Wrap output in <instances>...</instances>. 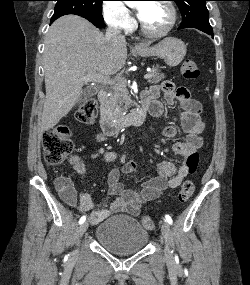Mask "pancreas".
<instances>
[{
	"instance_id": "obj_1",
	"label": "pancreas",
	"mask_w": 250,
	"mask_h": 285,
	"mask_svg": "<svg viewBox=\"0 0 250 285\" xmlns=\"http://www.w3.org/2000/svg\"><path fill=\"white\" fill-rule=\"evenodd\" d=\"M151 77L148 79L150 84H157L165 78L163 73H159L157 68H153L149 73ZM131 103L129 93L126 89V80L117 81L109 92V97L105 100L101 109L106 115L117 118L126 110Z\"/></svg>"
}]
</instances>
